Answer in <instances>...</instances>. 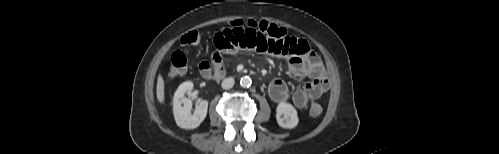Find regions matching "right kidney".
Returning <instances> with one entry per match:
<instances>
[{
  "instance_id": "right-kidney-1",
  "label": "right kidney",
  "mask_w": 499,
  "mask_h": 154,
  "mask_svg": "<svg viewBox=\"0 0 499 154\" xmlns=\"http://www.w3.org/2000/svg\"><path fill=\"white\" fill-rule=\"evenodd\" d=\"M193 83L187 81L182 83L176 90L173 98V114L176 124L183 129L197 128L205 119L208 109V101L202 100L191 114L192 101L190 99ZM185 93L189 98L185 97Z\"/></svg>"
}]
</instances>
